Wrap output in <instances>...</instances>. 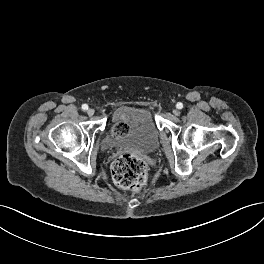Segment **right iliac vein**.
<instances>
[{"mask_svg":"<svg viewBox=\"0 0 264 264\" xmlns=\"http://www.w3.org/2000/svg\"><path fill=\"white\" fill-rule=\"evenodd\" d=\"M94 110L93 109H89L88 111H87V114H88V116H93L94 115Z\"/></svg>","mask_w":264,"mask_h":264,"instance_id":"1","label":"right iliac vein"}]
</instances>
